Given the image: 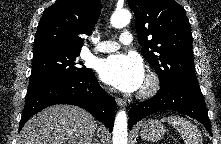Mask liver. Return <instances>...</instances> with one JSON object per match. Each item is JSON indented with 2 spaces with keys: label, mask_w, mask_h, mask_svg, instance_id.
<instances>
[{
  "label": "liver",
  "mask_w": 221,
  "mask_h": 144,
  "mask_svg": "<svg viewBox=\"0 0 221 144\" xmlns=\"http://www.w3.org/2000/svg\"><path fill=\"white\" fill-rule=\"evenodd\" d=\"M97 122L87 111L71 105H53L23 126L18 144H93Z\"/></svg>",
  "instance_id": "6515ba94"
}]
</instances>
